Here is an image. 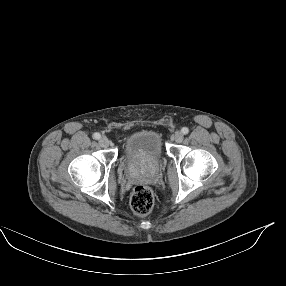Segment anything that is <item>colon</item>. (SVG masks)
Masks as SVG:
<instances>
[{
    "label": "colon",
    "instance_id": "colon-1",
    "mask_svg": "<svg viewBox=\"0 0 286 286\" xmlns=\"http://www.w3.org/2000/svg\"><path fill=\"white\" fill-rule=\"evenodd\" d=\"M133 211L140 216L148 214L154 205L152 190L145 185H138L134 188L131 201Z\"/></svg>",
    "mask_w": 286,
    "mask_h": 286
}]
</instances>
